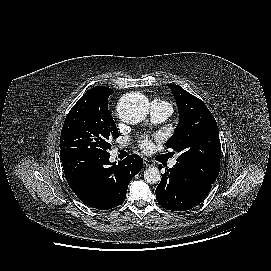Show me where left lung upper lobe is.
<instances>
[{"label":"left lung upper lobe","mask_w":271,"mask_h":271,"mask_svg":"<svg viewBox=\"0 0 271 271\" xmlns=\"http://www.w3.org/2000/svg\"><path fill=\"white\" fill-rule=\"evenodd\" d=\"M179 123L165 146L178 152L177 165L214 184L220 171L221 144L217 123L207 106L175 84Z\"/></svg>","instance_id":"obj_1"}]
</instances>
